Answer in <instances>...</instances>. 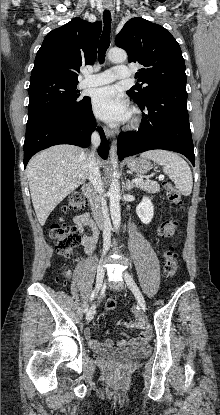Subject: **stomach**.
I'll return each instance as SVG.
<instances>
[{"label": "stomach", "mask_w": 220, "mask_h": 415, "mask_svg": "<svg viewBox=\"0 0 220 415\" xmlns=\"http://www.w3.org/2000/svg\"><path fill=\"white\" fill-rule=\"evenodd\" d=\"M128 168L137 174H145L152 168V165L146 159L135 158L128 162Z\"/></svg>", "instance_id": "0dacf381"}]
</instances>
